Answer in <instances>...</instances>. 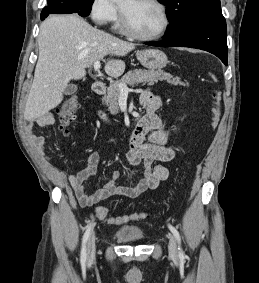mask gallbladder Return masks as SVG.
<instances>
[{
    "mask_svg": "<svg viewBox=\"0 0 259 283\" xmlns=\"http://www.w3.org/2000/svg\"><path fill=\"white\" fill-rule=\"evenodd\" d=\"M78 87L75 84H70L66 87L64 94L65 95H72L77 91Z\"/></svg>",
    "mask_w": 259,
    "mask_h": 283,
    "instance_id": "bac80fb5",
    "label": "gallbladder"
}]
</instances>
